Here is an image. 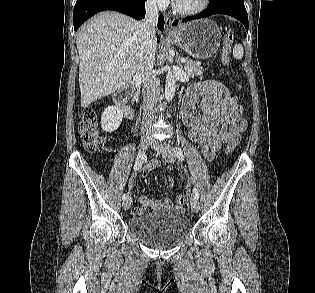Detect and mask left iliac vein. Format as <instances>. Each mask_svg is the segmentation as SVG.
<instances>
[{
	"label": "left iliac vein",
	"instance_id": "obj_1",
	"mask_svg": "<svg viewBox=\"0 0 315 293\" xmlns=\"http://www.w3.org/2000/svg\"><path fill=\"white\" fill-rule=\"evenodd\" d=\"M151 147L153 149H155L156 151H158L163 158L166 160V162H168L169 164H172L175 162V153L173 150V147L167 143H158L157 141H152L151 142ZM191 208L194 212H198L199 208H200V204L198 199L192 197L191 201Z\"/></svg>",
	"mask_w": 315,
	"mask_h": 293
}]
</instances>
